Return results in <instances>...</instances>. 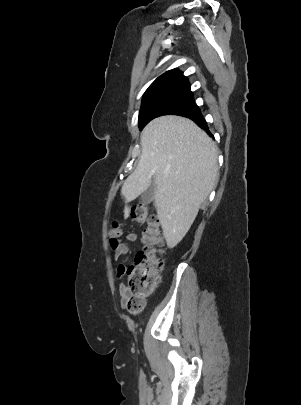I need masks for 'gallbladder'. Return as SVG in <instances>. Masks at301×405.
<instances>
[{
    "label": "gallbladder",
    "mask_w": 301,
    "mask_h": 405,
    "mask_svg": "<svg viewBox=\"0 0 301 405\" xmlns=\"http://www.w3.org/2000/svg\"><path fill=\"white\" fill-rule=\"evenodd\" d=\"M155 192H156V184L153 181L151 183V185L148 187V189H146L142 194H141V203L143 205H148L149 203H151L154 198H155Z\"/></svg>",
    "instance_id": "1"
}]
</instances>
